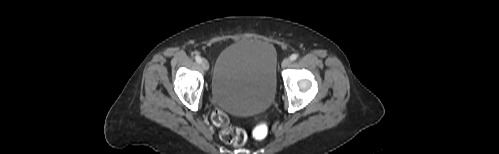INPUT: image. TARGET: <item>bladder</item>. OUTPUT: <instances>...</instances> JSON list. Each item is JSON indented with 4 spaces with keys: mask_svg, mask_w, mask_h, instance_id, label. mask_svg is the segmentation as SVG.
<instances>
[{
    "mask_svg": "<svg viewBox=\"0 0 499 154\" xmlns=\"http://www.w3.org/2000/svg\"><path fill=\"white\" fill-rule=\"evenodd\" d=\"M277 54L263 40H241L219 54L211 82L213 101L234 115L267 110L277 86Z\"/></svg>",
    "mask_w": 499,
    "mask_h": 154,
    "instance_id": "bladder-1",
    "label": "bladder"
}]
</instances>
